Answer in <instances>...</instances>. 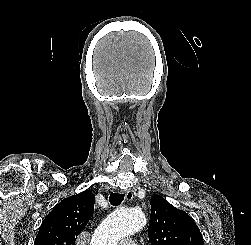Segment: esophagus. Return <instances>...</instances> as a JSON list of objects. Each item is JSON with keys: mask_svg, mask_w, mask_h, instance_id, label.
I'll return each instance as SVG.
<instances>
[{"mask_svg": "<svg viewBox=\"0 0 251 245\" xmlns=\"http://www.w3.org/2000/svg\"><path fill=\"white\" fill-rule=\"evenodd\" d=\"M125 197L127 200L131 201L133 199V191L132 190H127L125 192Z\"/></svg>", "mask_w": 251, "mask_h": 245, "instance_id": "34e87169", "label": "esophagus"}]
</instances>
